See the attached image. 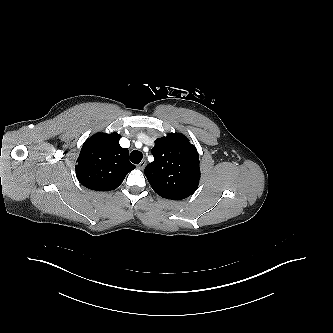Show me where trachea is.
Wrapping results in <instances>:
<instances>
[{
    "mask_svg": "<svg viewBox=\"0 0 333 333\" xmlns=\"http://www.w3.org/2000/svg\"><path fill=\"white\" fill-rule=\"evenodd\" d=\"M143 158V154L138 150H133L130 154V160L134 164H139Z\"/></svg>",
    "mask_w": 333,
    "mask_h": 333,
    "instance_id": "1",
    "label": "trachea"
}]
</instances>
